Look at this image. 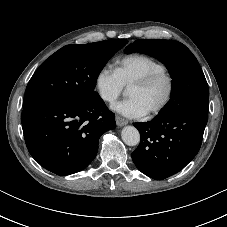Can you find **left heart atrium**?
<instances>
[{"mask_svg": "<svg viewBox=\"0 0 227 227\" xmlns=\"http://www.w3.org/2000/svg\"><path fill=\"white\" fill-rule=\"evenodd\" d=\"M112 109L127 118H140L147 113L141 103L131 97L117 102L112 106Z\"/></svg>", "mask_w": 227, "mask_h": 227, "instance_id": "left-heart-atrium-1", "label": "left heart atrium"}]
</instances>
